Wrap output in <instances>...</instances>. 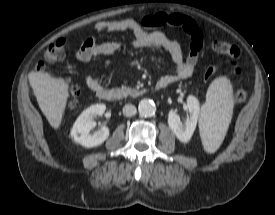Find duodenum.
I'll return each mask as SVG.
<instances>
[{
	"mask_svg": "<svg viewBox=\"0 0 275 215\" xmlns=\"http://www.w3.org/2000/svg\"><path fill=\"white\" fill-rule=\"evenodd\" d=\"M168 85H170L169 81L166 79H160L157 83H156V89L160 90V89H164L166 88ZM98 98L103 100V101H115L118 99V92L113 90V89H109V88H103L101 90H99L97 92Z\"/></svg>",
	"mask_w": 275,
	"mask_h": 215,
	"instance_id": "410a0bca",
	"label": "duodenum"
}]
</instances>
